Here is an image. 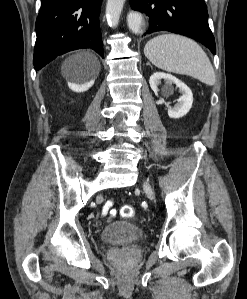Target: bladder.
I'll return each mask as SVG.
<instances>
[{"label": "bladder", "instance_id": "1", "mask_svg": "<svg viewBox=\"0 0 247 299\" xmlns=\"http://www.w3.org/2000/svg\"><path fill=\"white\" fill-rule=\"evenodd\" d=\"M147 237L146 232L139 226L128 222H113L101 232L100 238L106 244H117L127 241H141Z\"/></svg>", "mask_w": 247, "mask_h": 299}]
</instances>
